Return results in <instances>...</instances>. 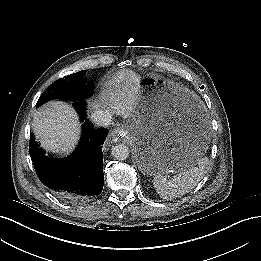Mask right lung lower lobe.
<instances>
[{"label":"right lung lower lobe","mask_w":261,"mask_h":261,"mask_svg":"<svg viewBox=\"0 0 261 261\" xmlns=\"http://www.w3.org/2000/svg\"><path fill=\"white\" fill-rule=\"evenodd\" d=\"M76 108L85 116V103L76 102ZM108 135L105 128L93 129L85 124L81 140L68 157L52 159L30 140L29 151L40 181L61 199L78 202L102 192L104 183L101 145Z\"/></svg>","instance_id":"1"}]
</instances>
